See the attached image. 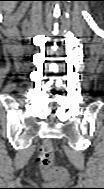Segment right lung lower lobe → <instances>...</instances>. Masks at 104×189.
<instances>
[{
  "label": "right lung lower lobe",
  "mask_w": 104,
  "mask_h": 189,
  "mask_svg": "<svg viewBox=\"0 0 104 189\" xmlns=\"http://www.w3.org/2000/svg\"><path fill=\"white\" fill-rule=\"evenodd\" d=\"M6 1H24V0H6Z\"/></svg>",
  "instance_id": "1"
}]
</instances>
